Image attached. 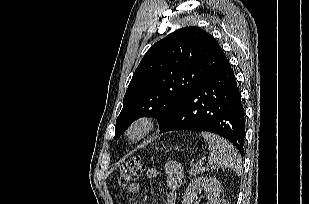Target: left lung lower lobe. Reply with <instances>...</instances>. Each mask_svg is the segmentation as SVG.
<instances>
[{
  "mask_svg": "<svg viewBox=\"0 0 309 204\" xmlns=\"http://www.w3.org/2000/svg\"><path fill=\"white\" fill-rule=\"evenodd\" d=\"M174 130L218 134L232 142L243 155L245 113L227 58L181 102L160 127L159 133Z\"/></svg>",
  "mask_w": 309,
  "mask_h": 204,
  "instance_id": "1",
  "label": "left lung lower lobe"
}]
</instances>
